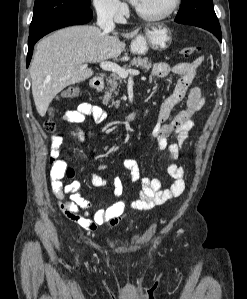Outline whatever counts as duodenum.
<instances>
[{"label": "duodenum", "instance_id": "obj_1", "mask_svg": "<svg viewBox=\"0 0 247 299\" xmlns=\"http://www.w3.org/2000/svg\"><path fill=\"white\" fill-rule=\"evenodd\" d=\"M89 86L95 90L100 89L103 86V78L100 76L93 77L89 82ZM139 116L140 115L138 113L132 112L125 115L122 119L125 121H133L137 119Z\"/></svg>", "mask_w": 247, "mask_h": 299}]
</instances>
